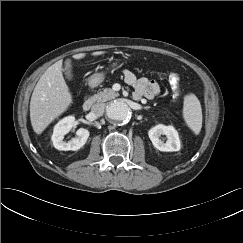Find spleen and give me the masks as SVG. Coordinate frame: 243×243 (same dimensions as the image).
I'll return each instance as SVG.
<instances>
[{
  "instance_id": "1",
  "label": "spleen",
  "mask_w": 243,
  "mask_h": 243,
  "mask_svg": "<svg viewBox=\"0 0 243 243\" xmlns=\"http://www.w3.org/2000/svg\"><path fill=\"white\" fill-rule=\"evenodd\" d=\"M183 118L186 125L198 135L202 128V109L200 101L192 93L184 97Z\"/></svg>"
}]
</instances>
